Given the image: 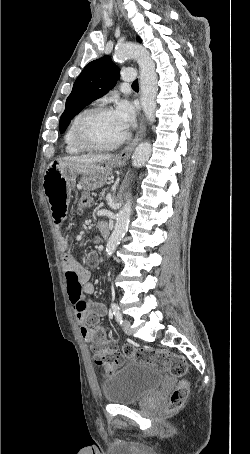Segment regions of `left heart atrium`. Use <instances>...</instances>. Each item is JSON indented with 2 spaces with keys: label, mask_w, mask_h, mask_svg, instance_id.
Here are the masks:
<instances>
[{
  "label": "left heart atrium",
  "mask_w": 250,
  "mask_h": 454,
  "mask_svg": "<svg viewBox=\"0 0 250 454\" xmlns=\"http://www.w3.org/2000/svg\"><path fill=\"white\" fill-rule=\"evenodd\" d=\"M113 112L124 130H127L134 121L135 109L128 101L119 100Z\"/></svg>",
  "instance_id": "obj_1"
}]
</instances>
